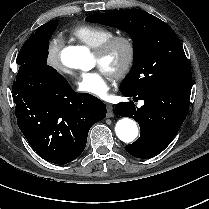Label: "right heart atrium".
<instances>
[{
	"label": "right heart atrium",
	"mask_w": 209,
	"mask_h": 209,
	"mask_svg": "<svg viewBox=\"0 0 209 209\" xmlns=\"http://www.w3.org/2000/svg\"><path fill=\"white\" fill-rule=\"evenodd\" d=\"M63 40L59 36L50 38L46 45V62L53 70L57 72H65L66 68L61 62V50L63 48Z\"/></svg>",
	"instance_id": "d8ad5b80"
}]
</instances>
